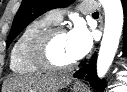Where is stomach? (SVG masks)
<instances>
[{
    "label": "stomach",
    "mask_w": 127,
    "mask_h": 92,
    "mask_svg": "<svg viewBox=\"0 0 127 92\" xmlns=\"http://www.w3.org/2000/svg\"><path fill=\"white\" fill-rule=\"evenodd\" d=\"M73 92H87V90L84 87H82V88H74Z\"/></svg>",
    "instance_id": "0dacf381"
}]
</instances>
